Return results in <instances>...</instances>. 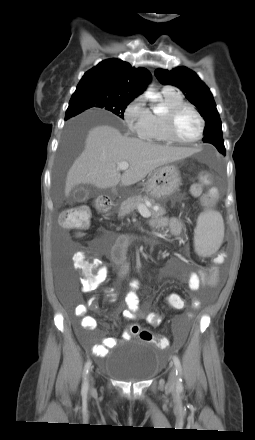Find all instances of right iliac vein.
<instances>
[{"label": "right iliac vein", "mask_w": 255, "mask_h": 440, "mask_svg": "<svg viewBox=\"0 0 255 440\" xmlns=\"http://www.w3.org/2000/svg\"><path fill=\"white\" fill-rule=\"evenodd\" d=\"M89 382H90L91 389H93V386H94V379H93L91 373L89 374Z\"/></svg>", "instance_id": "1"}]
</instances>
